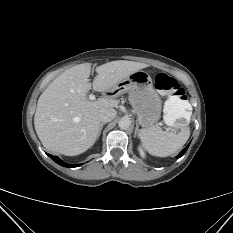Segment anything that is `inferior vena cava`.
Here are the masks:
<instances>
[{
    "label": "inferior vena cava",
    "mask_w": 233,
    "mask_h": 233,
    "mask_svg": "<svg viewBox=\"0 0 233 233\" xmlns=\"http://www.w3.org/2000/svg\"><path fill=\"white\" fill-rule=\"evenodd\" d=\"M116 116V111L112 108L100 110L98 113V118L101 122H110Z\"/></svg>",
    "instance_id": "obj_1"
}]
</instances>
